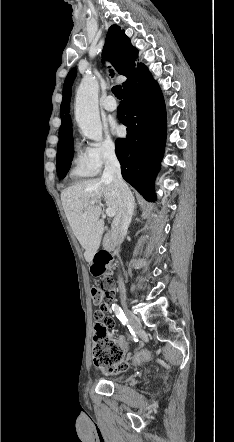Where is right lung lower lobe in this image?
Wrapping results in <instances>:
<instances>
[{
	"label": "right lung lower lobe",
	"mask_w": 234,
	"mask_h": 442,
	"mask_svg": "<svg viewBox=\"0 0 234 442\" xmlns=\"http://www.w3.org/2000/svg\"><path fill=\"white\" fill-rule=\"evenodd\" d=\"M124 101L118 119L127 126V137L115 142L123 178L146 200L154 201V180L166 140L163 95L148 70L123 87Z\"/></svg>",
	"instance_id": "98d812e1"
}]
</instances>
